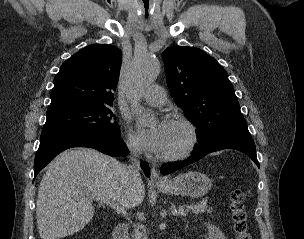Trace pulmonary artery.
I'll return each mask as SVG.
<instances>
[{"mask_svg": "<svg viewBox=\"0 0 304 239\" xmlns=\"http://www.w3.org/2000/svg\"><path fill=\"white\" fill-rule=\"evenodd\" d=\"M143 99L150 105L162 106L166 102V94L159 85H151L142 94Z\"/></svg>", "mask_w": 304, "mask_h": 239, "instance_id": "pulmonary-artery-1", "label": "pulmonary artery"}]
</instances>
